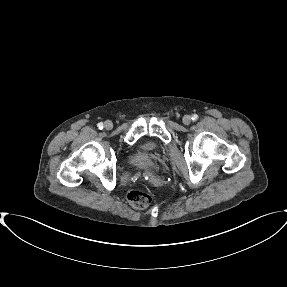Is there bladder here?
<instances>
[{
    "mask_svg": "<svg viewBox=\"0 0 287 287\" xmlns=\"http://www.w3.org/2000/svg\"><path fill=\"white\" fill-rule=\"evenodd\" d=\"M159 153V150L154 144H147L143 150L135 156L134 163L140 166L153 163L158 159Z\"/></svg>",
    "mask_w": 287,
    "mask_h": 287,
    "instance_id": "bladder-1",
    "label": "bladder"
}]
</instances>
